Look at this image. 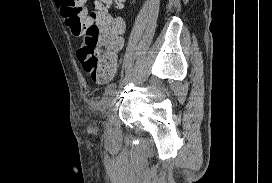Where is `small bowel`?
Instances as JSON below:
<instances>
[{"mask_svg": "<svg viewBox=\"0 0 272 183\" xmlns=\"http://www.w3.org/2000/svg\"><path fill=\"white\" fill-rule=\"evenodd\" d=\"M57 4H58V6H59V9H60L61 14L63 15V6H62V3L60 2V0L57 1ZM116 70H117V68H116ZM116 70H115V71H114L107 79L100 80V79L94 78L93 76H92V78H93L94 81H96V82H98V83H104V82L109 81L111 78H113V76H114L115 73H116Z\"/></svg>", "mask_w": 272, "mask_h": 183, "instance_id": "1", "label": "small bowel"}]
</instances>
